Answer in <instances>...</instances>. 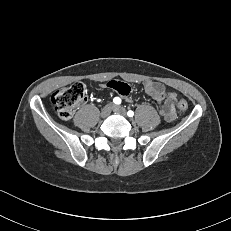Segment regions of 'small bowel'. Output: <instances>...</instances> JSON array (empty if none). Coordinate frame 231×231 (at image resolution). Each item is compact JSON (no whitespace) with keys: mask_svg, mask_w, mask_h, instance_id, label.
Listing matches in <instances>:
<instances>
[{"mask_svg":"<svg viewBox=\"0 0 231 231\" xmlns=\"http://www.w3.org/2000/svg\"><path fill=\"white\" fill-rule=\"evenodd\" d=\"M108 86L114 89L117 93L125 97L127 102H133L132 97L129 96L130 87L123 82L110 81ZM145 92L151 96L156 102L163 103L161 108V115L166 121H172L177 116L175 101L176 94L174 92H166L165 87L158 82L145 81Z\"/></svg>","mask_w":231,"mask_h":231,"instance_id":"obj_1","label":"small bowel"}]
</instances>
